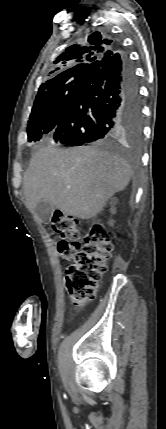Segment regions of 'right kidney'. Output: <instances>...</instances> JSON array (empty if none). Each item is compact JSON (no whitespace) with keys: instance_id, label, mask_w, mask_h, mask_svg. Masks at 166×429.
<instances>
[{"instance_id":"right-kidney-1","label":"right kidney","mask_w":166,"mask_h":429,"mask_svg":"<svg viewBox=\"0 0 166 429\" xmlns=\"http://www.w3.org/2000/svg\"><path fill=\"white\" fill-rule=\"evenodd\" d=\"M115 199H112V204H115ZM110 211H111V213L112 214H115L116 213V209H115V207L114 206H112V208L110 209ZM113 223H114V221L113 220H110L109 221V224L112 226L113 225Z\"/></svg>"}]
</instances>
